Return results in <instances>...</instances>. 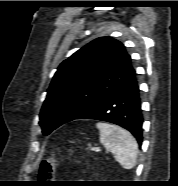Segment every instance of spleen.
Wrapping results in <instances>:
<instances>
[{"instance_id": "spleen-1", "label": "spleen", "mask_w": 178, "mask_h": 186, "mask_svg": "<svg viewBox=\"0 0 178 186\" xmlns=\"http://www.w3.org/2000/svg\"><path fill=\"white\" fill-rule=\"evenodd\" d=\"M100 132V142L114 155L115 160L124 168L136 166L138 144L125 129L103 122L96 124Z\"/></svg>"}]
</instances>
